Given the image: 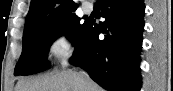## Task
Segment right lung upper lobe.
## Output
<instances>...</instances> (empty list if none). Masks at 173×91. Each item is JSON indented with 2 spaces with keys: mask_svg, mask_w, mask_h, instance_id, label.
<instances>
[{
  "mask_svg": "<svg viewBox=\"0 0 173 91\" xmlns=\"http://www.w3.org/2000/svg\"><path fill=\"white\" fill-rule=\"evenodd\" d=\"M77 7L73 0H31L25 29L66 18L75 14Z\"/></svg>",
  "mask_w": 173,
  "mask_h": 91,
  "instance_id": "cb5924a9",
  "label": "right lung upper lobe"
}]
</instances>
